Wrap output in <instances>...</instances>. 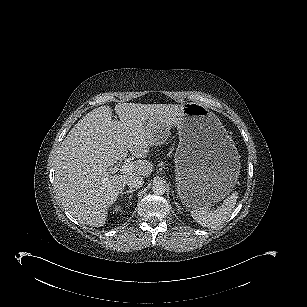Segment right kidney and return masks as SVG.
I'll return each mask as SVG.
<instances>
[{
	"label": "right kidney",
	"mask_w": 307,
	"mask_h": 307,
	"mask_svg": "<svg viewBox=\"0 0 307 307\" xmlns=\"http://www.w3.org/2000/svg\"><path fill=\"white\" fill-rule=\"evenodd\" d=\"M114 211H116V213L119 212V211H121V206H116V207H114Z\"/></svg>",
	"instance_id": "1"
}]
</instances>
